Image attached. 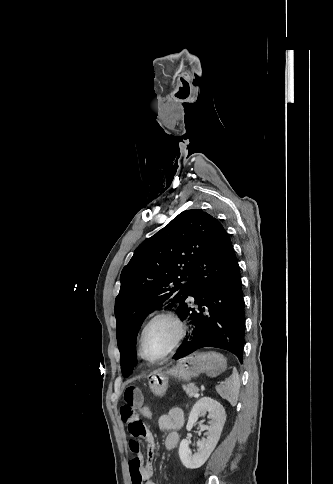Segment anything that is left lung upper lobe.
Instances as JSON below:
<instances>
[{
  "instance_id": "obj_1",
  "label": "left lung upper lobe",
  "mask_w": 333,
  "mask_h": 484,
  "mask_svg": "<svg viewBox=\"0 0 333 484\" xmlns=\"http://www.w3.org/2000/svg\"><path fill=\"white\" fill-rule=\"evenodd\" d=\"M215 218L200 209L183 211L135 250L120 276L115 300L122 374L133 370L137 333L154 309L185 304L189 271Z\"/></svg>"
}]
</instances>
